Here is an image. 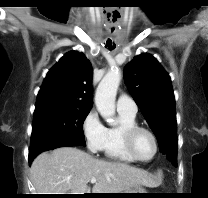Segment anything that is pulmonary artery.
<instances>
[{
    "instance_id": "pulmonary-artery-1",
    "label": "pulmonary artery",
    "mask_w": 208,
    "mask_h": 198,
    "mask_svg": "<svg viewBox=\"0 0 208 198\" xmlns=\"http://www.w3.org/2000/svg\"><path fill=\"white\" fill-rule=\"evenodd\" d=\"M118 112H125L131 115H136L137 105L135 101L126 94H121L116 102Z\"/></svg>"
}]
</instances>
